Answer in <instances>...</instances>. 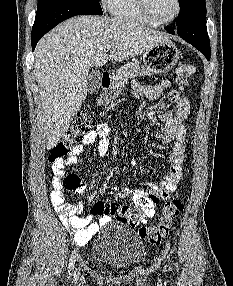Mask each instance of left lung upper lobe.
<instances>
[{
	"label": "left lung upper lobe",
	"mask_w": 233,
	"mask_h": 286,
	"mask_svg": "<svg viewBox=\"0 0 233 286\" xmlns=\"http://www.w3.org/2000/svg\"><path fill=\"white\" fill-rule=\"evenodd\" d=\"M180 16L177 18L176 26L188 21L197 13L206 11L205 0H179Z\"/></svg>",
	"instance_id": "obj_1"
}]
</instances>
